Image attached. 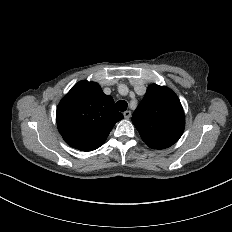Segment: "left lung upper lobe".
<instances>
[{"mask_svg": "<svg viewBox=\"0 0 232 232\" xmlns=\"http://www.w3.org/2000/svg\"><path fill=\"white\" fill-rule=\"evenodd\" d=\"M142 140L152 149H164L176 143L185 128L183 108L168 87L150 85L132 115Z\"/></svg>", "mask_w": 232, "mask_h": 232, "instance_id": "5c2ea615", "label": "left lung upper lobe"}]
</instances>
